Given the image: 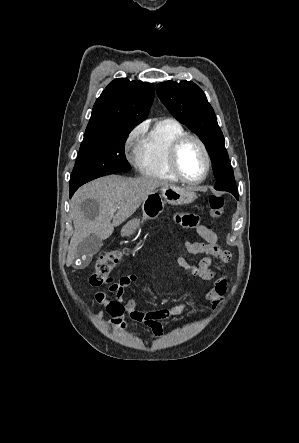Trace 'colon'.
Returning <instances> with one entry per match:
<instances>
[{
    "label": "colon",
    "instance_id": "obj_1",
    "mask_svg": "<svg viewBox=\"0 0 299 443\" xmlns=\"http://www.w3.org/2000/svg\"><path fill=\"white\" fill-rule=\"evenodd\" d=\"M224 199L218 195H212L209 199V213L212 218H219L223 214ZM127 251L125 249H110L104 251L97 259L89 282L93 286H101L110 281V274L119 264Z\"/></svg>",
    "mask_w": 299,
    "mask_h": 443
}]
</instances>
